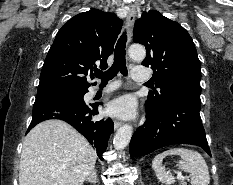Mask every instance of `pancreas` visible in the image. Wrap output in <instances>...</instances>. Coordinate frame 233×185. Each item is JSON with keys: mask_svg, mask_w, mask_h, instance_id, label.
<instances>
[{"mask_svg": "<svg viewBox=\"0 0 233 185\" xmlns=\"http://www.w3.org/2000/svg\"><path fill=\"white\" fill-rule=\"evenodd\" d=\"M180 185H186V182L181 181V182H180Z\"/></svg>", "mask_w": 233, "mask_h": 185, "instance_id": "obj_1", "label": "pancreas"}]
</instances>
